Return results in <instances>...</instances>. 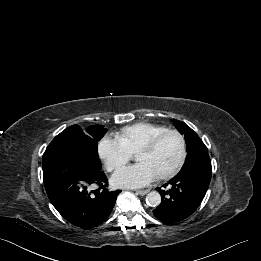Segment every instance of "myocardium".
Returning a JSON list of instances; mask_svg holds the SVG:
<instances>
[{
  "mask_svg": "<svg viewBox=\"0 0 261 261\" xmlns=\"http://www.w3.org/2000/svg\"><path fill=\"white\" fill-rule=\"evenodd\" d=\"M169 134H173L178 137V139L180 141V156H179L177 163L171 170H169L168 172H166L164 174L157 176V179H159V180L170 179V178L174 177L182 169V167L185 163V160H186V155H187L186 142H185L183 135L179 131L174 130V129L164 130V131L158 133L157 135H155L153 138H151L146 144H144L142 147H140L135 152V154L151 152L152 150L155 149V147L157 146L159 141L163 137H165L166 135H169Z\"/></svg>",
  "mask_w": 261,
  "mask_h": 261,
  "instance_id": "f54148a6",
  "label": "myocardium"
}]
</instances>
